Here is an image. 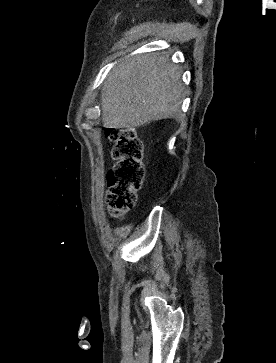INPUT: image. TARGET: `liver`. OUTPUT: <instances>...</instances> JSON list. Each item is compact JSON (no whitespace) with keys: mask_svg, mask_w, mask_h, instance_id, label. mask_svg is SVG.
<instances>
[{"mask_svg":"<svg viewBox=\"0 0 276 363\" xmlns=\"http://www.w3.org/2000/svg\"><path fill=\"white\" fill-rule=\"evenodd\" d=\"M180 77L179 67L160 55L147 54L120 63L104 83L103 126L140 127L179 117L184 91Z\"/></svg>","mask_w":276,"mask_h":363,"instance_id":"6515ba94","label":"liver"}]
</instances>
